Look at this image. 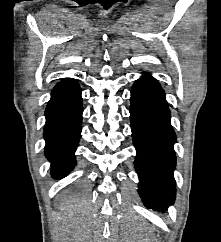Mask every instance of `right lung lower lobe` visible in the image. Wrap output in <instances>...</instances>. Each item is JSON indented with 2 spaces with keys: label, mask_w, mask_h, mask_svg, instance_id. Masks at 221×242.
<instances>
[{
  "label": "right lung lower lobe",
  "mask_w": 221,
  "mask_h": 242,
  "mask_svg": "<svg viewBox=\"0 0 221 242\" xmlns=\"http://www.w3.org/2000/svg\"><path fill=\"white\" fill-rule=\"evenodd\" d=\"M82 112L78 82L73 78L61 80L54 87L46 107L43 134L45 155L52 163L54 178H63L76 163L74 152L80 139Z\"/></svg>",
  "instance_id": "1"
}]
</instances>
